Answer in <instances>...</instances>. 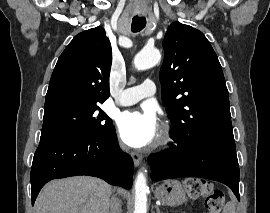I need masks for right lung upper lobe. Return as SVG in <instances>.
<instances>
[{
  "label": "right lung upper lobe",
  "instance_id": "cb5924a9",
  "mask_svg": "<svg viewBox=\"0 0 270 213\" xmlns=\"http://www.w3.org/2000/svg\"><path fill=\"white\" fill-rule=\"evenodd\" d=\"M111 61V45L102 27L76 35L57 61L45 107L66 101L102 104L109 97Z\"/></svg>",
  "mask_w": 270,
  "mask_h": 213
}]
</instances>
